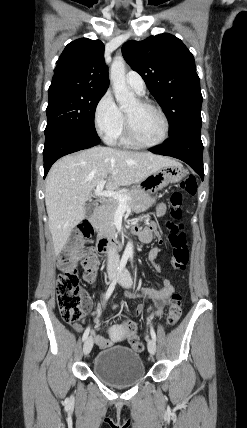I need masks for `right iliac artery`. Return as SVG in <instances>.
<instances>
[{"instance_id": "1", "label": "right iliac artery", "mask_w": 247, "mask_h": 428, "mask_svg": "<svg viewBox=\"0 0 247 428\" xmlns=\"http://www.w3.org/2000/svg\"><path fill=\"white\" fill-rule=\"evenodd\" d=\"M127 261H128V256H123L121 258L120 265L118 267L117 275L115 276V278L110 283V285H109V287L107 289V292L105 294V301H107L109 299V297L111 296V294L113 293V291L115 289V286L117 284V281H118L120 275L122 274V272H123V270H124V268H125V266L127 264ZM89 332H90V327H87L86 330H85V332H84V334H83V338H82L83 341L86 340V338L89 335Z\"/></svg>"}]
</instances>
